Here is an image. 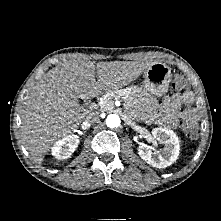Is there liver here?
<instances>
[{"mask_svg": "<svg viewBox=\"0 0 221 221\" xmlns=\"http://www.w3.org/2000/svg\"><path fill=\"white\" fill-rule=\"evenodd\" d=\"M151 65L74 60L49 70L32 88L21 110V138L33 160L41 164L52 146L82 123L78 98L92 99L102 91L117 90Z\"/></svg>", "mask_w": 221, "mask_h": 221, "instance_id": "6515ba94", "label": "liver"}]
</instances>
